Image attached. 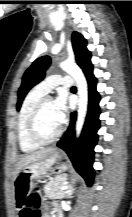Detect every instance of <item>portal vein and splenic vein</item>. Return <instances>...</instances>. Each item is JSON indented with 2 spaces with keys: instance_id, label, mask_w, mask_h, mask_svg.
I'll return each instance as SVG.
<instances>
[{
  "instance_id": "18ae733b",
  "label": "portal vein and splenic vein",
  "mask_w": 132,
  "mask_h": 217,
  "mask_svg": "<svg viewBox=\"0 0 132 217\" xmlns=\"http://www.w3.org/2000/svg\"><path fill=\"white\" fill-rule=\"evenodd\" d=\"M68 188H69V186H67L66 183H65V184L61 187V190H62V191H65V190H67Z\"/></svg>"
}]
</instances>
